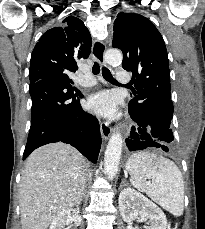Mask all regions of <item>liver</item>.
<instances>
[{
    "label": "liver",
    "mask_w": 205,
    "mask_h": 229,
    "mask_svg": "<svg viewBox=\"0 0 205 229\" xmlns=\"http://www.w3.org/2000/svg\"><path fill=\"white\" fill-rule=\"evenodd\" d=\"M87 168L82 154L62 142L32 152L20 182L22 229H47L58 214L78 204Z\"/></svg>",
    "instance_id": "6515ba94"
}]
</instances>
